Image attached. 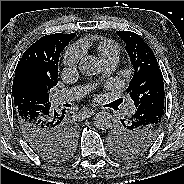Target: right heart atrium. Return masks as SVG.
<instances>
[{"instance_id": "d8ad5b80", "label": "right heart atrium", "mask_w": 184, "mask_h": 184, "mask_svg": "<svg viewBox=\"0 0 184 184\" xmlns=\"http://www.w3.org/2000/svg\"><path fill=\"white\" fill-rule=\"evenodd\" d=\"M84 53L83 46L79 43L70 46L63 57V63L66 66L74 67Z\"/></svg>"}]
</instances>
